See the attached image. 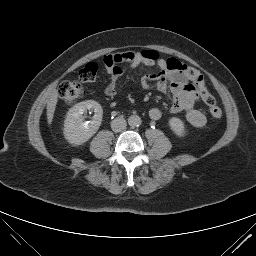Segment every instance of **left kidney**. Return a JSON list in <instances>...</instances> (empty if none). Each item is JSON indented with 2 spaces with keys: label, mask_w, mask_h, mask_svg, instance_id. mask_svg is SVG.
I'll return each instance as SVG.
<instances>
[{
  "label": "left kidney",
  "mask_w": 256,
  "mask_h": 256,
  "mask_svg": "<svg viewBox=\"0 0 256 256\" xmlns=\"http://www.w3.org/2000/svg\"><path fill=\"white\" fill-rule=\"evenodd\" d=\"M169 126L178 137H184L186 135L184 122L181 119L177 117L170 118Z\"/></svg>",
  "instance_id": "1"
}]
</instances>
